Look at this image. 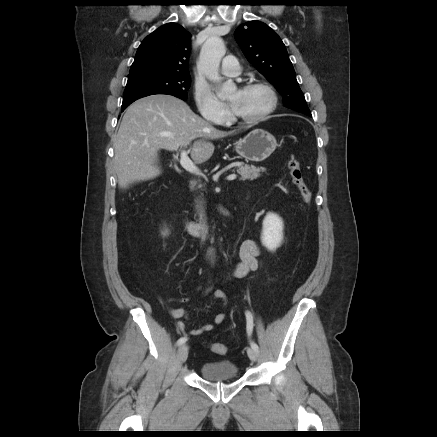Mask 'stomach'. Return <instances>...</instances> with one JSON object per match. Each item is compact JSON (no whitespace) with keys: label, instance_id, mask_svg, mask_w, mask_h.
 Returning <instances> with one entry per match:
<instances>
[{"label":"stomach","instance_id":"obj_1","mask_svg":"<svg viewBox=\"0 0 437 437\" xmlns=\"http://www.w3.org/2000/svg\"><path fill=\"white\" fill-rule=\"evenodd\" d=\"M275 137L263 129H255L235 144L236 152L246 161L261 162L276 149Z\"/></svg>","mask_w":437,"mask_h":437}]
</instances>
